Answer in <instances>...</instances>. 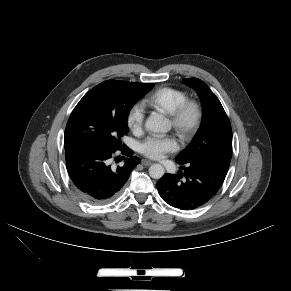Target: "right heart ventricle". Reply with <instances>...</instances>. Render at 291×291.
<instances>
[{"label":"right heart ventricle","instance_id":"obj_1","mask_svg":"<svg viewBox=\"0 0 291 291\" xmlns=\"http://www.w3.org/2000/svg\"><path fill=\"white\" fill-rule=\"evenodd\" d=\"M187 99L188 94L184 90L173 87H161L150 93L143 100V104L158 112L169 115L178 105Z\"/></svg>","mask_w":291,"mask_h":291}]
</instances>
